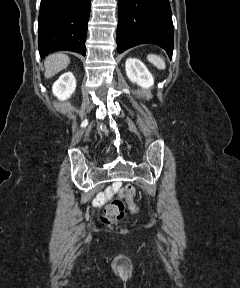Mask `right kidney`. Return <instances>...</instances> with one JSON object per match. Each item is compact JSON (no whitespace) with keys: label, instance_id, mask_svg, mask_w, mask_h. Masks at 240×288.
<instances>
[{"label":"right kidney","instance_id":"right-kidney-1","mask_svg":"<svg viewBox=\"0 0 240 288\" xmlns=\"http://www.w3.org/2000/svg\"><path fill=\"white\" fill-rule=\"evenodd\" d=\"M75 88L76 79L71 72H67L53 84L52 92L59 100H66L74 93Z\"/></svg>","mask_w":240,"mask_h":288}]
</instances>
